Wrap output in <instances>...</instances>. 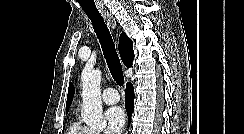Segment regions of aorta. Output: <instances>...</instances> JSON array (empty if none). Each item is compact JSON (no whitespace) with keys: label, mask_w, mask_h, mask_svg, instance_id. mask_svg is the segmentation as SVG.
Wrapping results in <instances>:
<instances>
[{"label":"aorta","mask_w":244,"mask_h":134,"mask_svg":"<svg viewBox=\"0 0 244 134\" xmlns=\"http://www.w3.org/2000/svg\"><path fill=\"white\" fill-rule=\"evenodd\" d=\"M82 88V111L83 121L91 129H102L106 122L102 115L101 101V71L99 69H85L81 75Z\"/></svg>","instance_id":"aorta-1"}]
</instances>
